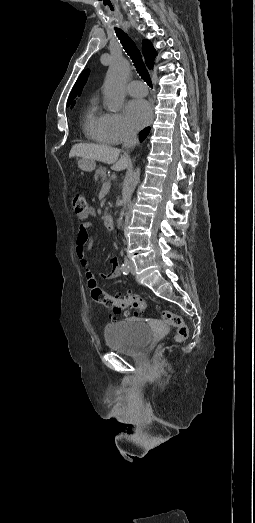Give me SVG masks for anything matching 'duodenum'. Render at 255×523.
I'll use <instances>...</instances> for the list:
<instances>
[{"label":"duodenum","mask_w":255,"mask_h":523,"mask_svg":"<svg viewBox=\"0 0 255 523\" xmlns=\"http://www.w3.org/2000/svg\"><path fill=\"white\" fill-rule=\"evenodd\" d=\"M104 224L108 230L114 229V218L112 215H106L104 217Z\"/></svg>","instance_id":"410a0bca"}]
</instances>
